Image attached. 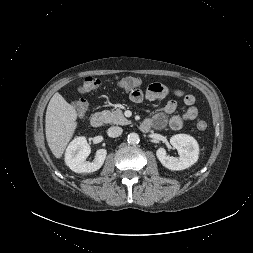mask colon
<instances>
[{
	"instance_id": "obj_1",
	"label": "colon",
	"mask_w": 253,
	"mask_h": 253,
	"mask_svg": "<svg viewBox=\"0 0 253 253\" xmlns=\"http://www.w3.org/2000/svg\"><path fill=\"white\" fill-rule=\"evenodd\" d=\"M142 84V80L136 76H126L119 81V86L125 90L137 89ZM101 85V81L95 77H86L80 86L81 93H87L97 89ZM73 106L80 116H83L88 111V102L85 99L75 100ZM198 130L204 131L208 127V122L204 118L196 121Z\"/></svg>"
}]
</instances>
